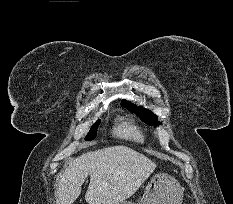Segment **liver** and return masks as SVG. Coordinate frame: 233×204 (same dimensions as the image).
I'll use <instances>...</instances> for the list:
<instances>
[{
	"mask_svg": "<svg viewBox=\"0 0 233 204\" xmlns=\"http://www.w3.org/2000/svg\"><path fill=\"white\" fill-rule=\"evenodd\" d=\"M156 164L124 145L87 152L72 160L56 185L58 204H73L90 175L88 204H117L132 196L153 173Z\"/></svg>",
	"mask_w": 233,
	"mask_h": 204,
	"instance_id": "obj_1",
	"label": "liver"
}]
</instances>
